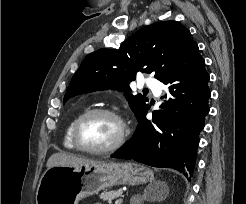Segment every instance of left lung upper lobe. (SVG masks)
Instances as JSON below:
<instances>
[{
  "label": "left lung upper lobe",
  "mask_w": 246,
  "mask_h": 204,
  "mask_svg": "<svg viewBox=\"0 0 246 204\" xmlns=\"http://www.w3.org/2000/svg\"><path fill=\"white\" fill-rule=\"evenodd\" d=\"M195 44L189 30L176 21L146 26L119 49H100L87 55L70 82L64 103L78 94L108 88L129 92L128 83L138 71L155 73L162 82ZM127 98L137 118L148 107L141 94H127Z\"/></svg>",
  "instance_id": "left-lung-upper-lobe-1"
}]
</instances>
